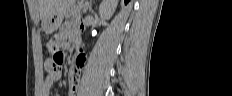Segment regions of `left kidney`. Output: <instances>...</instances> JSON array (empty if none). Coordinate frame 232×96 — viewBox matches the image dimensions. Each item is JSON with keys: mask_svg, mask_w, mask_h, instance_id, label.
Listing matches in <instances>:
<instances>
[{"mask_svg": "<svg viewBox=\"0 0 232 96\" xmlns=\"http://www.w3.org/2000/svg\"><path fill=\"white\" fill-rule=\"evenodd\" d=\"M118 5V0H103L99 7L100 17L110 19Z\"/></svg>", "mask_w": 232, "mask_h": 96, "instance_id": "left-kidney-1", "label": "left kidney"}]
</instances>
